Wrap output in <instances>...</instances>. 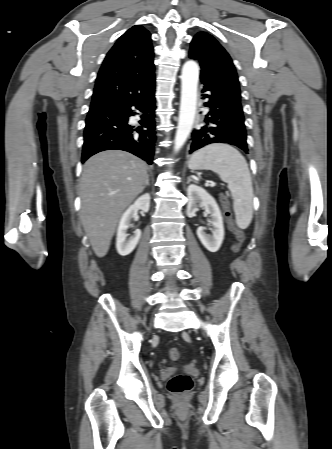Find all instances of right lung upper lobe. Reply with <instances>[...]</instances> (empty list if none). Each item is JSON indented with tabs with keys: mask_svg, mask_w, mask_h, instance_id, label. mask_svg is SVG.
I'll list each match as a JSON object with an SVG mask.
<instances>
[{
	"mask_svg": "<svg viewBox=\"0 0 332 449\" xmlns=\"http://www.w3.org/2000/svg\"><path fill=\"white\" fill-rule=\"evenodd\" d=\"M150 36L141 25H135L118 39L99 70L89 112L117 106L154 90Z\"/></svg>",
	"mask_w": 332,
	"mask_h": 449,
	"instance_id": "1",
	"label": "right lung upper lobe"
}]
</instances>
